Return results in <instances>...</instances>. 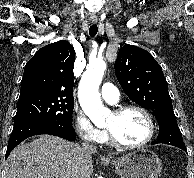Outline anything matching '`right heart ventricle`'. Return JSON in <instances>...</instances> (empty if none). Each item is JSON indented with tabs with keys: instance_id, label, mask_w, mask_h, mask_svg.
Returning a JSON list of instances; mask_svg holds the SVG:
<instances>
[{
	"instance_id": "right-heart-ventricle-1",
	"label": "right heart ventricle",
	"mask_w": 194,
	"mask_h": 178,
	"mask_svg": "<svg viewBox=\"0 0 194 178\" xmlns=\"http://www.w3.org/2000/svg\"><path fill=\"white\" fill-rule=\"evenodd\" d=\"M105 141H107V137L104 139V141H103V142H105Z\"/></svg>"
}]
</instances>
